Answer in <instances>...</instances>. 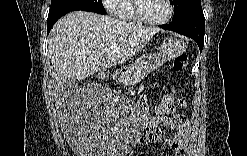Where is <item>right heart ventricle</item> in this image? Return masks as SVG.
<instances>
[{
    "label": "right heart ventricle",
    "mask_w": 247,
    "mask_h": 156,
    "mask_svg": "<svg viewBox=\"0 0 247 156\" xmlns=\"http://www.w3.org/2000/svg\"><path fill=\"white\" fill-rule=\"evenodd\" d=\"M131 4L132 1L130 0L120 1L115 15L122 20L135 21V18L131 13Z\"/></svg>",
    "instance_id": "obj_1"
}]
</instances>
